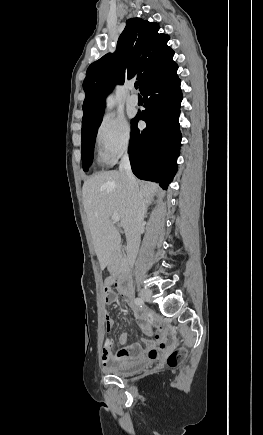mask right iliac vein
<instances>
[{
	"mask_svg": "<svg viewBox=\"0 0 263 435\" xmlns=\"http://www.w3.org/2000/svg\"><path fill=\"white\" fill-rule=\"evenodd\" d=\"M139 294H140V297L145 301H151V299H152V292L149 289H146V288L141 289L139 291Z\"/></svg>",
	"mask_w": 263,
	"mask_h": 435,
	"instance_id": "obj_1",
	"label": "right iliac vein"
}]
</instances>
